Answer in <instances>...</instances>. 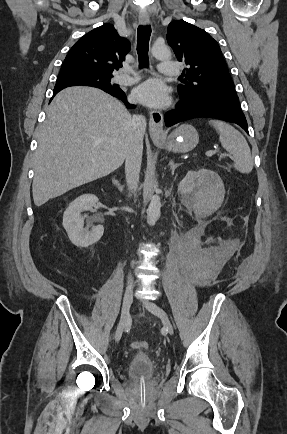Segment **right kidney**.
Here are the masks:
<instances>
[{
  "label": "right kidney",
  "instance_id": "1",
  "mask_svg": "<svg viewBox=\"0 0 287 434\" xmlns=\"http://www.w3.org/2000/svg\"><path fill=\"white\" fill-rule=\"evenodd\" d=\"M97 202L95 195L84 194L71 202L64 212L63 227L70 241L78 247H88L96 243L104 233L102 225L92 226L90 231L89 226L84 228V218L81 216V212L91 210Z\"/></svg>",
  "mask_w": 287,
  "mask_h": 434
}]
</instances>
